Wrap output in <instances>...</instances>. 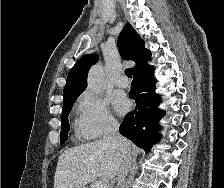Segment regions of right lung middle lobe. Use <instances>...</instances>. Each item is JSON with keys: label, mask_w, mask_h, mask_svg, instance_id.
Wrapping results in <instances>:
<instances>
[{"label": "right lung middle lobe", "mask_w": 224, "mask_h": 188, "mask_svg": "<svg viewBox=\"0 0 224 188\" xmlns=\"http://www.w3.org/2000/svg\"><path fill=\"white\" fill-rule=\"evenodd\" d=\"M81 93L78 94H74L70 97H67L65 99H63V109H62V117H61V125H62V132H61V136H60V144H63L67 138H68V130H69V123H68V115L69 112L75 102V100L78 98V96Z\"/></svg>", "instance_id": "right-lung-middle-lobe-1"}]
</instances>
